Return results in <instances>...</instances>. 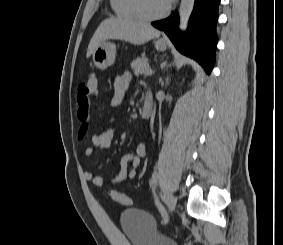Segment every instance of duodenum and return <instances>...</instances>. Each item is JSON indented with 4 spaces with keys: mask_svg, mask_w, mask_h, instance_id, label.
Here are the masks:
<instances>
[{
    "mask_svg": "<svg viewBox=\"0 0 283 245\" xmlns=\"http://www.w3.org/2000/svg\"><path fill=\"white\" fill-rule=\"evenodd\" d=\"M153 111L152 101L149 97H146L143 107H142V117L148 119L151 117Z\"/></svg>",
    "mask_w": 283,
    "mask_h": 245,
    "instance_id": "duodenum-1",
    "label": "duodenum"
}]
</instances>
